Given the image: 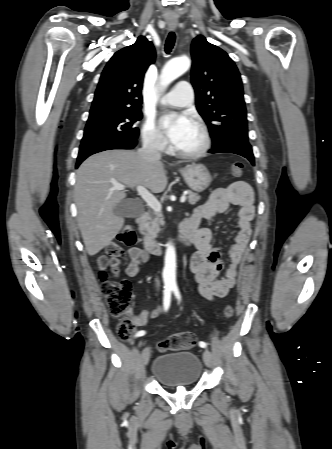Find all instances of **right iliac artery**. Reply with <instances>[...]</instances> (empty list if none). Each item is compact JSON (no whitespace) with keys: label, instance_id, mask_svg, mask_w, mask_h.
<instances>
[{"label":"right iliac artery","instance_id":"82829eb1","mask_svg":"<svg viewBox=\"0 0 332 449\" xmlns=\"http://www.w3.org/2000/svg\"><path fill=\"white\" fill-rule=\"evenodd\" d=\"M171 292H172V288L171 287H165V289H164V297H163V306H164V309L167 311L168 310V308H169V306H170V302H171ZM145 331L144 330H141V331H138L136 334H135V337H140V336H143V335H145Z\"/></svg>","mask_w":332,"mask_h":449}]
</instances>
